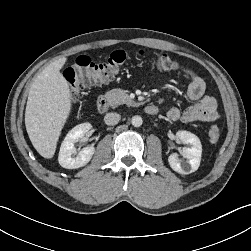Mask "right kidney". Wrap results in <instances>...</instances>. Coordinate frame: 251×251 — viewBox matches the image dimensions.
Listing matches in <instances>:
<instances>
[{
  "mask_svg": "<svg viewBox=\"0 0 251 251\" xmlns=\"http://www.w3.org/2000/svg\"><path fill=\"white\" fill-rule=\"evenodd\" d=\"M90 123H82L72 128L63 140L58 161L66 169H76L85 166L92 158L95 148L93 146L83 148L77 155L74 144L78 142L90 129ZM76 155V156H75Z\"/></svg>",
  "mask_w": 251,
  "mask_h": 251,
  "instance_id": "obj_1",
  "label": "right kidney"
}]
</instances>
